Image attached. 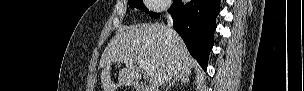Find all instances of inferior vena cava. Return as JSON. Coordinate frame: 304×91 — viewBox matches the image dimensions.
<instances>
[{
	"mask_svg": "<svg viewBox=\"0 0 304 91\" xmlns=\"http://www.w3.org/2000/svg\"><path fill=\"white\" fill-rule=\"evenodd\" d=\"M166 19H167V23H168L169 37L170 38H175L176 32L173 30V24H172V19H171L170 15L166 14ZM171 79L172 78H171L170 75L166 76L164 78V81H163V83L161 85L164 87L167 82L171 81Z\"/></svg>",
	"mask_w": 304,
	"mask_h": 91,
	"instance_id": "obj_1",
	"label": "inferior vena cava"
}]
</instances>
